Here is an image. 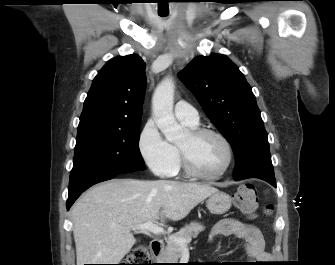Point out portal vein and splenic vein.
I'll use <instances>...</instances> for the list:
<instances>
[{
    "label": "portal vein and splenic vein",
    "mask_w": 335,
    "mask_h": 265,
    "mask_svg": "<svg viewBox=\"0 0 335 265\" xmlns=\"http://www.w3.org/2000/svg\"><path fill=\"white\" fill-rule=\"evenodd\" d=\"M130 229L132 230H138V231H144V232H150L153 234H166V231L159 226L158 224L152 222V221H148L145 222L143 224H138L135 226L130 227ZM174 242L179 244L181 247H186L187 244L189 243L188 240L186 239H182V238H174Z\"/></svg>",
    "instance_id": "portal-vein-and-splenic-vein-1"
}]
</instances>
